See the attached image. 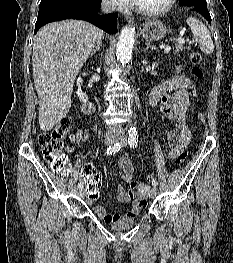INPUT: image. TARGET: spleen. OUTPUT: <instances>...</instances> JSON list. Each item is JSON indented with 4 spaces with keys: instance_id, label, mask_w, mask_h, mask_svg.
Wrapping results in <instances>:
<instances>
[{
    "instance_id": "1",
    "label": "spleen",
    "mask_w": 233,
    "mask_h": 263,
    "mask_svg": "<svg viewBox=\"0 0 233 263\" xmlns=\"http://www.w3.org/2000/svg\"><path fill=\"white\" fill-rule=\"evenodd\" d=\"M187 24L191 28L195 40L200 44L203 53L210 55L214 51V44L207 27L199 20L189 17Z\"/></svg>"
}]
</instances>
